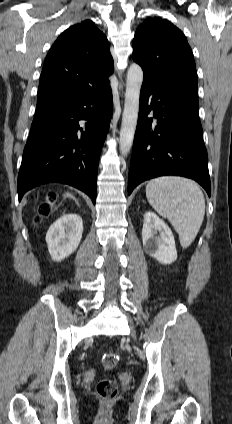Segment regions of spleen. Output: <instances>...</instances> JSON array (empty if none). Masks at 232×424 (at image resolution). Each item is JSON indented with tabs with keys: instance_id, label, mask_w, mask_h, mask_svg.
Listing matches in <instances>:
<instances>
[{
	"instance_id": "spleen-1",
	"label": "spleen",
	"mask_w": 232,
	"mask_h": 424,
	"mask_svg": "<svg viewBox=\"0 0 232 424\" xmlns=\"http://www.w3.org/2000/svg\"><path fill=\"white\" fill-rule=\"evenodd\" d=\"M146 196L154 210L170 221L181 246L189 247L205 215V198L198 184L185 177H158L147 184Z\"/></svg>"
}]
</instances>
